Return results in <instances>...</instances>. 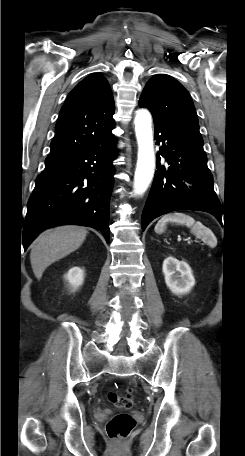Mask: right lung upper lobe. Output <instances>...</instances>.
<instances>
[{
	"label": "right lung upper lobe",
	"instance_id": "right-lung-upper-lobe-1",
	"mask_svg": "<svg viewBox=\"0 0 245 456\" xmlns=\"http://www.w3.org/2000/svg\"><path fill=\"white\" fill-rule=\"evenodd\" d=\"M113 114L114 100L107 80L100 74L86 77L62 106L45 166L69 159L110 134Z\"/></svg>",
	"mask_w": 245,
	"mask_h": 456
}]
</instances>
